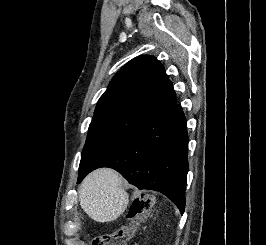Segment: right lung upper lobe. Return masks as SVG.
<instances>
[{"label":"right lung upper lobe","instance_id":"cb5924a9","mask_svg":"<svg viewBox=\"0 0 266 245\" xmlns=\"http://www.w3.org/2000/svg\"><path fill=\"white\" fill-rule=\"evenodd\" d=\"M176 102L163 65L153 56L141 55L116 73L99 99L94 116L112 114L143 120Z\"/></svg>","mask_w":266,"mask_h":245}]
</instances>
